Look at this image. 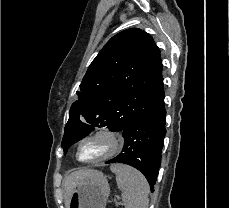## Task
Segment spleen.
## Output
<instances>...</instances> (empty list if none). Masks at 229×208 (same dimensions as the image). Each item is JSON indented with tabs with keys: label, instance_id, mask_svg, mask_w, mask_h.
I'll list each match as a JSON object with an SVG mask.
<instances>
[{
	"label": "spleen",
	"instance_id": "3e777b00",
	"mask_svg": "<svg viewBox=\"0 0 229 208\" xmlns=\"http://www.w3.org/2000/svg\"><path fill=\"white\" fill-rule=\"evenodd\" d=\"M110 170L116 174L125 208H148L149 186L146 178L135 168L124 164H112Z\"/></svg>",
	"mask_w": 229,
	"mask_h": 208
}]
</instances>
